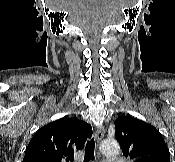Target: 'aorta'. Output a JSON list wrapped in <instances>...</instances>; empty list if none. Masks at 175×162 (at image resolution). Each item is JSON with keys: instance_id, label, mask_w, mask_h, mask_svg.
I'll use <instances>...</instances> for the list:
<instances>
[{"instance_id": "1", "label": "aorta", "mask_w": 175, "mask_h": 162, "mask_svg": "<svg viewBox=\"0 0 175 162\" xmlns=\"http://www.w3.org/2000/svg\"><path fill=\"white\" fill-rule=\"evenodd\" d=\"M100 151L107 156L118 155L120 146L115 140H104L100 145Z\"/></svg>"}]
</instances>
